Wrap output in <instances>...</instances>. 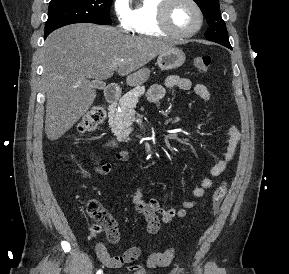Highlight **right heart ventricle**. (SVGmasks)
I'll return each instance as SVG.
<instances>
[{"instance_id":"right-heart-ventricle-1","label":"right heart ventricle","mask_w":289,"mask_h":274,"mask_svg":"<svg viewBox=\"0 0 289 274\" xmlns=\"http://www.w3.org/2000/svg\"><path fill=\"white\" fill-rule=\"evenodd\" d=\"M162 0H138L132 13V31L142 36H168L158 24V10Z\"/></svg>"}]
</instances>
